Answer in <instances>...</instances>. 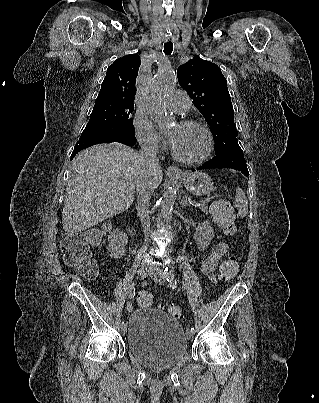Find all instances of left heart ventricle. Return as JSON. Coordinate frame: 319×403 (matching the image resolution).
Wrapping results in <instances>:
<instances>
[{
	"instance_id": "obj_1",
	"label": "left heart ventricle",
	"mask_w": 319,
	"mask_h": 403,
	"mask_svg": "<svg viewBox=\"0 0 319 403\" xmlns=\"http://www.w3.org/2000/svg\"><path fill=\"white\" fill-rule=\"evenodd\" d=\"M168 133L173 137L174 150L185 158H197L206 149L205 134L197 126H186L176 122L169 127Z\"/></svg>"
}]
</instances>
